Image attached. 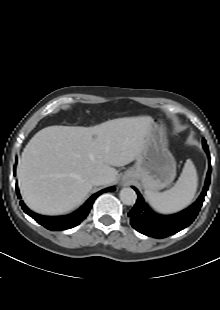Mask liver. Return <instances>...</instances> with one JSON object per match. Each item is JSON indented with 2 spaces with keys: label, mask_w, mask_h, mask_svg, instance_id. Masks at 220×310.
<instances>
[{
  "label": "liver",
  "mask_w": 220,
  "mask_h": 310,
  "mask_svg": "<svg viewBox=\"0 0 220 310\" xmlns=\"http://www.w3.org/2000/svg\"><path fill=\"white\" fill-rule=\"evenodd\" d=\"M153 126L150 116L125 117L93 127L49 126L28 142L17 168L27 206L40 214H64L82 203L95 175L116 181L114 167L144 150Z\"/></svg>",
  "instance_id": "6515ba94"
}]
</instances>
